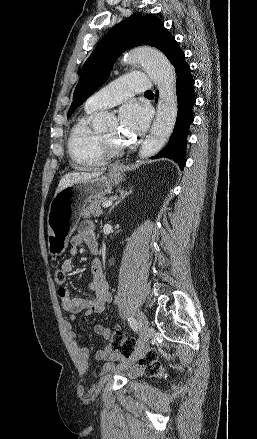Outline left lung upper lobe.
<instances>
[{"mask_svg": "<svg viewBox=\"0 0 257 439\" xmlns=\"http://www.w3.org/2000/svg\"><path fill=\"white\" fill-rule=\"evenodd\" d=\"M174 40L154 14L136 13L114 26L85 61L68 117L107 80L113 63L125 50L150 45L167 55Z\"/></svg>", "mask_w": 257, "mask_h": 439, "instance_id": "1", "label": "left lung upper lobe"}]
</instances>
